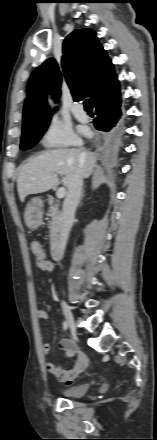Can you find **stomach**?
Listing matches in <instances>:
<instances>
[{"mask_svg":"<svg viewBox=\"0 0 157 440\" xmlns=\"http://www.w3.org/2000/svg\"><path fill=\"white\" fill-rule=\"evenodd\" d=\"M42 207L43 201L39 198L32 199L27 203L24 212V220L28 228L36 229L41 225L43 218Z\"/></svg>","mask_w":157,"mask_h":440,"instance_id":"stomach-1","label":"stomach"}]
</instances>
